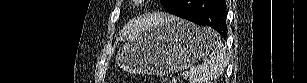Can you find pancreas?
<instances>
[{"instance_id":"obj_1","label":"pancreas","mask_w":307,"mask_h":83,"mask_svg":"<svg viewBox=\"0 0 307 83\" xmlns=\"http://www.w3.org/2000/svg\"><path fill=\"white\" fill-rule=\"evenodd\" d=\"M172 83H176V81L174 80V81H172Z\"/></svg>"}]
</instances>
